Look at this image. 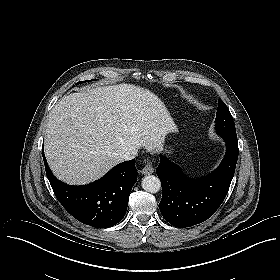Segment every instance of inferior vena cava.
<instances>
[{"mask_svg": "<svg viewBox=\"0 0 280 280\" xmlns=\"http://www.w3.org/2000/svg\"><path fill=\"white\" fill-rule=\"evenodd\" d=\"M138 154V151L137 149H130L126 152H124L122 155H121V159L124 161V160H131L133 158H135Z\"/></svg>", "mask_w": 280, "mask_h": 280, "instance_id": "1", "label": "inferior vena cava"}]
</instances>
